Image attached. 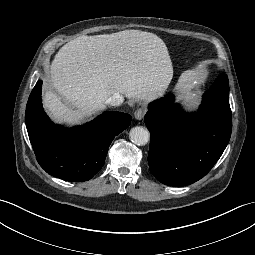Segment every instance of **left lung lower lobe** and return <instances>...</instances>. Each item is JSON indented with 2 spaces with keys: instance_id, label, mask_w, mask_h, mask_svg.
Wrapping results in <instances>:
<instances>
[{
  "instance_id": "0a47b994",
  "label": "left lung lower lobe",
  "mask_w": 255,
  "mask_h": 255,
  "mask_svg": "<svg viewBox=\"0 0 255 255\" xmlns=\"http://www.w3.org/2000/svg\"><path fill=\"white\" fill-rule=\"evenodd\" d=\"M228 84L227 75H220L196 113L184 112L171 94L149 105L144 118L151 135L148 164L159 182L192 184L221 157L232 131Z\"/></svg>"
}]
</instances>
